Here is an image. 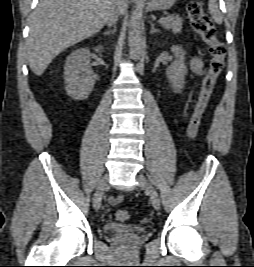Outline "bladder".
<instances>
[{"instance_id": "31cf9c89", "label": "bladder", "mask_w": 254, "mask_h": 267, "mask_svg": "<svg viewBox=\"0 0 254 267\" xmlns=\"http://www.w3.org/2000/svg\"><path fill=\"white\" fill-rule=\"evenodd\" d=\"M104 230L110 235H140L145 232V229L141 226H128L117 223H109L104 226Z\"/></svg>"}]
</instances>
